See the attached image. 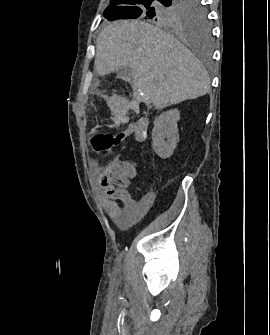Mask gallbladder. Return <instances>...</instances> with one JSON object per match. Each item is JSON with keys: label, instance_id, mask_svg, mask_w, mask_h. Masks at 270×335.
<instances>
[{"label": "gallbladder", "instance_id": "obj_1", "mask_svg": "<svg viewBox=\"0 0 270 335\" xmlns=\"http://www.w3.org/2000/svg\"><path fill=\"white\" fill-rule=\"evenodd\" d=\"M117 78H120V80H124V82H132L133 78L132 68H129V66H125V68L117 70Z\"/></svg>", "mask_w": 270, "mask_h": 335}]
</instances>
